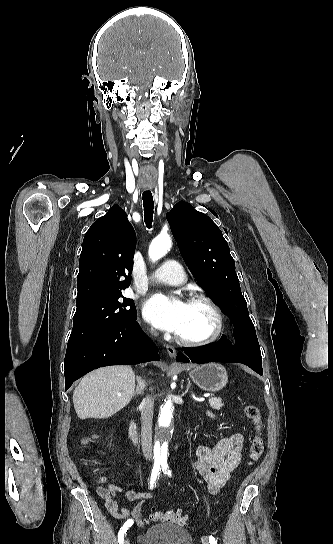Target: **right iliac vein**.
<instances>
[{"label": "right iliac vein", "mask_w": 333, "mask_h": 544, "mask_svg": "<svg viewBox=\"0 0 333 544\" xmlns=\"http://www.w3.org/2000/svg\"><path fill=\"white\" fill-rule=\"evenodd\" d=\"M124 544H129V539H128L127 536H126V538H125Z\"/></svg>", "instance_id": "obj_1"}]
</instances>
